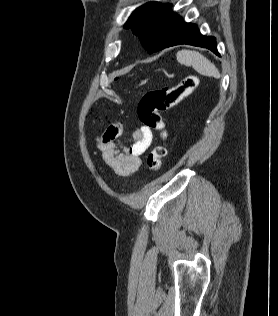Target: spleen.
<instances>
[{"label":"spleen","mask_w":278,"mask_h":316,"mask_svg":"<svg viewBox=\"0 0 278 316\" xmlns=\"http://www.w3.org/2000/svg\"><path fill=\"white\" fill-rule=\"evenodd\" d=\"M177 61L186 66H192L198 73L219 78L220 73L216 66L197 51L181 50L177 53Z\"/></svg>","instance_id":"1"}]
</instances>
